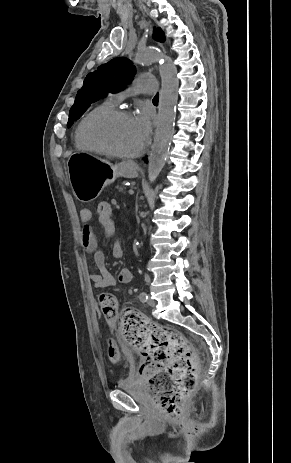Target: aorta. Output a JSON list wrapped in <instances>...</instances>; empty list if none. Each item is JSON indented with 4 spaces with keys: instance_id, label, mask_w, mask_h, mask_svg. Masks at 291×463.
I'll return each instance as SVG.
<instances>
[{
    "instance_id": "obj_1",
    "label": "aorta",
    "mask_w": 291,
    "mask_h": 463,
    "mask_svg": "<svg viewBox=\"0 0 291 463\" xmlns=\"http://www.w3.org/2000/svg\"><path fill=\"white\" fill-rule=\"evenodd\" d=\"M135 60L138 64H149L156 61L160 63L162 84L158 106V121L148 162V178L152 184L161 172L168 156L176 118L179 81L177 69L171 59L158 52L155 47L140 50Z\"/></svg>"
}]
</instances>
